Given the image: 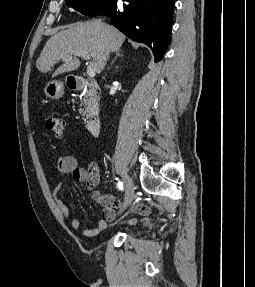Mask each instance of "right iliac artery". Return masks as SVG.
Listing matches in <instances>:
<instances>
[{"label": "right iliac artery", "instance_id": "obj_1", "mask_svg": "<svg viewBox=\"0 0 255 287\" xmlns=\"http://www.w3.org/2000/svg\"><path fill=\"white\" fill-rule=\"evenodd\" d=\"M117 185L120 190H123V183L121 181H118Z\"/></svg>", "mask_w": 255, "mask_h": 287}]
</instances>
